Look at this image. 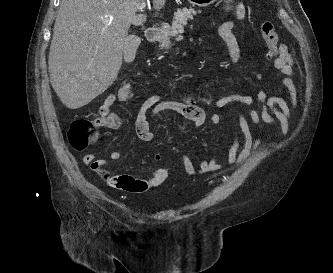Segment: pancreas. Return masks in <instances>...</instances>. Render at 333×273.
Segmentation results:
<instances>
[{
    "label": "pancreas",
    "mask_w": 333,
    "mask_h": 273,
    "mask_svg": "<svg viewBox=\"0 0 333 273\" xmlns=\"http://www.w3.org/2000/svg\"><path fill=\"white\" fill-rule=\"evenodd\" d=\"M193 15H196V11L192 8L178 9L174 13V18L171 27V36L179 37L184 32V27L187 22L193 19Z\"/></svg>",
    "instance_id": "pancreas-1"
}]
</instances>
